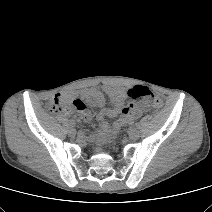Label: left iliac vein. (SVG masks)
I'll return each mask as SVG.
<instances>
[{
  "instance_id": "left-iliac-vein-1",
  "label": "left iliac vein",
  "mask_w": 212,
  "mask_h": 212,
  "mask_svg": "<svg viewBox=\"0 0 212 212\" xmlns=\"http://www.w3.org/2000/svg\"><path fill=\"white\" fill-rule=\"evenodd\" d=\"M139 131L137 129H131L129 132V138L131 140H137L139 138Z\"/></svg>"
}]
</instances>
